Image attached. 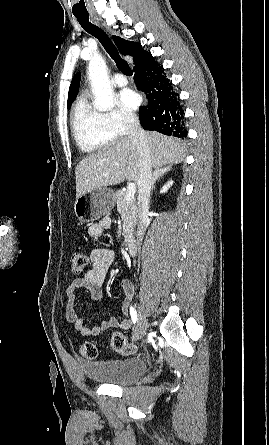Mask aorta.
<instances>
[{"instance_id": "1", "label": "aorta", "mask_w": 269, "mask_h": 445, "mask_svg": "<svg viewBox=\"0 0 269 445\" xmlns=\"http://www.w3.org/2000/svg\"><path fill=\"white\" fill-rule=\"evenodd\" d=\"M89 79L95 93V107L107 111L114 107L115 100L107 75L106 64L102 57L94 56L88 66Z\"/></svg>"}]
</instances>
